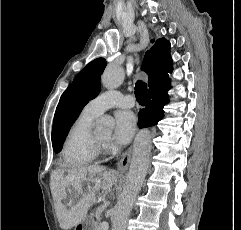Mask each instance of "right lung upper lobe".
<instances>
[{"instance_id":"right-lung-upper-lobe-1","label":"right lung upper lobe","mask_w":241,"mask_h":230,"mask_svg":"<svg viewBox=\"0 0 241 230\" xmlns=\"http://www.w3.org/2000/svg\"><path fill=\"white\" fill-rule=\"evenodd\" d=\"M170 43L165 38L158 39L155 45L146 52L142 69L148 74L149 87L172 72L173 62L170 55Z\"/></svg>"}]
</instances>
